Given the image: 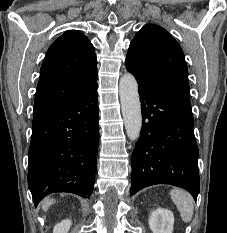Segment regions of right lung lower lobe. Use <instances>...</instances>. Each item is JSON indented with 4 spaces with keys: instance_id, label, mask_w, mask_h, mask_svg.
<instances>
[{
    "instance_id": "98d812e1",
    "label": "right lung lower lobe",
    "mask_w": 227,
    "mask_h": 233,
    "mask_svg": "<svg viewBox=\"0 0 227 233\" xmlns=\"http://www.w3.org/2000/svg\"><path fill=\"white\" fill-rule=\"evenodd\" d=\"M99 142L97 84L33 117L28 186L35 206L47 195L88 198L94 187Z\"/></svg>"
}]
</instances>
